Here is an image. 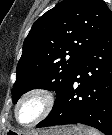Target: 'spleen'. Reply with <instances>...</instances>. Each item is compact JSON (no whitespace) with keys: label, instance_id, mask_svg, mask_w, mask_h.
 Segmentation results:
<instances>
[{"label":"spleen","instance_id":"3e777b00","mask_svg":"<svg viewBox=\"0 0 112 135\" xmlns=\"http://www.w3.org/2000/svg\"><path fill=\"white\" fill-rule=\"evenodd\" d=\"M85 135H102L99 131L95 129L86 128L85 129Z\"/></svg>","mask_w":112,"mask_h":135}]
</instances>
